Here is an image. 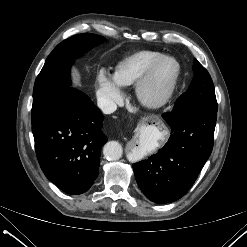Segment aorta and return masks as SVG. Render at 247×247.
<instances>
[{
	"label": "aorta",
	"mask_w": 247,
	"mask_h": 247,
	"mask_svg": "<svg viewBox=\"0 0 247 247\" xmlns=\"http://www.w3.org/2000/svg\"><path fill=\"white\" fill-rule=\"evenodd\" d=\"M103 154L108 160L116 161L121 158L123 149L120 143L109 141L104 145Z\"/></svg>",
	"instance_id": "1"
}]
</instances>
